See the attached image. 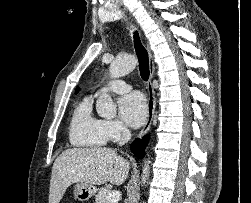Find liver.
Instances as JSON below:
<instances>
[{"instance_id": "liver-1", "label": "liver", "mask_w": 251, "mask_h": 203, "mask_svg": "<svg viewBox=\"0 0 251 203\" xmlns=\"http://www.w3.org/2000/svg\"><path fill=\"white\" fill-rule=\"evenodd\" d=\"M129 162L105 147L72 148L55 160L50 180L49 203H59L73 183L121 185L129 173Z\"/></svg>"}]
</instances>
